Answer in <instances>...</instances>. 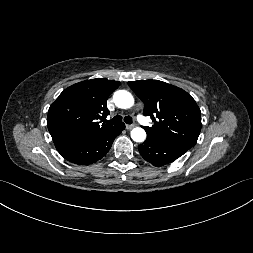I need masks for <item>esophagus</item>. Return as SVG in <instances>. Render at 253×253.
<instances>
[{
  "mask_svg": "<svg viewBox=\"0 0 253 253\" xmlns=\"http://www.w3.org/2000/svg\"><path fill=\"white\" fill-rule=\"evenodd\" d=\"M134 127H135V125H128V124L126 125V129H127V130H131V129L134 128Z\"/></svg>",
  "mask_w": 253,
  "mask_h": 253,
  "instance_id": "1",
  "label": "esophagus"
}]
</instances>
